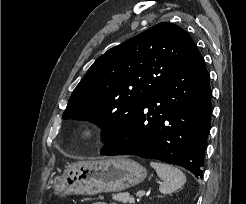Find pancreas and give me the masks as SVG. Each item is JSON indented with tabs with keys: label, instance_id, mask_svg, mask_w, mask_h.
Segmentation results:
<instances>
[{
	"label": "pancreas",
	"instance_id": "cf45deb5",
	"mask_svg": "<svg viewBox=\"0 0 246 204\" xmlns=\"http://www.w3.org/2000/svg\"><path fill=\"white\" fill-rule=\"evenodd\" d=\"M112 198L115 201H119L122 203H129V204H134V198L130 197L128 193H118V194H113Z\"/></svg>",
	"mask_w": 246,
	"mask_h": 204
}]
</instances>
